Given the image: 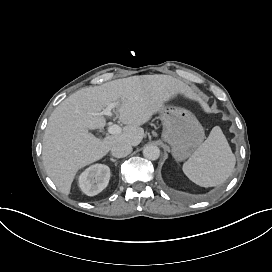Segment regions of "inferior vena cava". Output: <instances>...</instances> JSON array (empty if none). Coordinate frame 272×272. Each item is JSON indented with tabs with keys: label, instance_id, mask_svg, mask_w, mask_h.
Instances as JSON below:
<instances>
[{
	"label": "inferior vena cava",
	"instance_id": "602c4592",
	"mask_svg": "<svg viewBox=\"0 0 272 272\" xmlns=\"http://www.w3.org/2000/svg\"><path fill=\"white\" fill-rule=\"evenodd\" d=\"M132 152V146L126 143H116L111 148V154L116 158H123Z\"/></svg>",
	"mask_w": 272,
	"mask_h": 272
}]
</instances>
